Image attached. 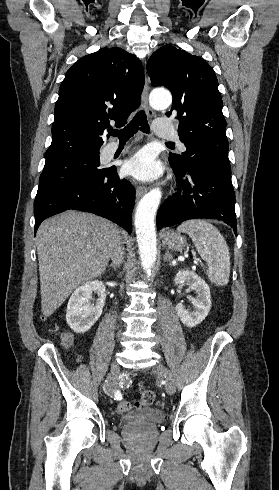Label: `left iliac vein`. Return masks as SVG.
<instances>
[{
    "label": "left iliac vein",
    "instance_id": "obj_1",
    "mask_svg": "<svg viewBox=\"0 0 279 490\" xmlns=\"http://www.w3.org/2000/svg\"><path fill=\"white\" fill-rule=\"evenodd\" d=\"M155 373L161 376L166 381V391L169 395H172L175 391V379L169 369L161 364H157Z\"/></svg>",
    "mask_w": 279,
    "mask_h": 490
}]
</instances>
